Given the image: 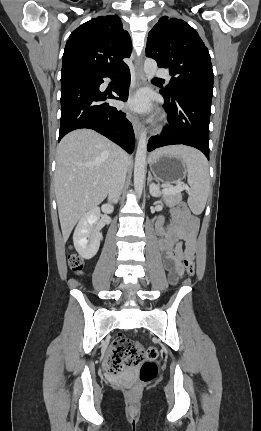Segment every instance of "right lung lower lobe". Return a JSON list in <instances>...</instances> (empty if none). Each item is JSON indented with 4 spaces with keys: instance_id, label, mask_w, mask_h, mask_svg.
<instances>
[{
    "instance_id": "98d812e1",
    "label": "right lung lower lobe",
    "mask_w": 261,
    "mask_h": 431,
    "mask_svg": "<svg viewBox=\"0 0 261 431\" xmlns=\"http://www.w3.org/2000/svg\"><path fill=\"white\" fill-rule=\"evenodd\" d=\"M123 72L119 84L111 93H101L99 86L103 78H112ZM130 72L126 65L114 71L67 73L61 76V123L59 141L69 132L88 128L93 129L117 143L127 152L134 149V131L125 113L104 102L106 99L126 101Z\"/></svg>"
}]
</instances>
